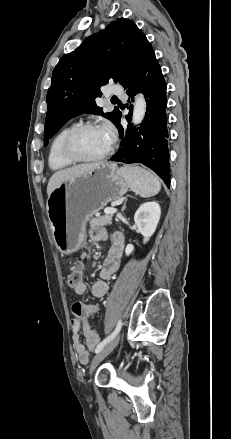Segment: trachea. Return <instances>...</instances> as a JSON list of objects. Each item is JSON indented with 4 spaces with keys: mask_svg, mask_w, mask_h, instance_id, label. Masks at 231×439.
Returning <instances> with one entry per match:
<instances>
[{
    "mask_svg": "<svg viewBox=\"0 0 231 439\" xmlns=\"http://www.w3.org/2000/svg\"><path fill=\"white\" fill-rule=\"evenodd\" d=\"M118 98L116 97V96H113L112 97V100H117Z\"/></svg>",
    "mask_w": 231,
    "mask_h": 439,
    "instance_id": "trachea-1",
    "label": "trachea"
}]
</instances>
